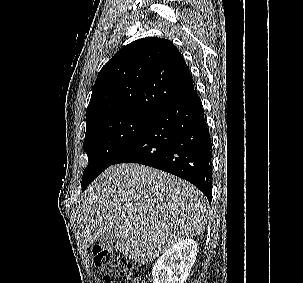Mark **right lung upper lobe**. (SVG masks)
Returning a JSON list of instances; mask_svg holds the SVG:
<instances>
[{"label":"right lung upper lobe","instance_id":"right-lung-upper-lobe-1","mask_svg":"<svg viewBox=\"0 0 303 283\" xmlns=\"http://www.w3.org/2000/svg\"><path fill=\"white\" fill-rule=\"evenodd\" d=\"M194 90L186 62L166 39L146 37L117 52L101 69L86 114V128L108 116L158 113Z\"/></svg>","mask_w":303,"mask_h":283}]
</instances>
